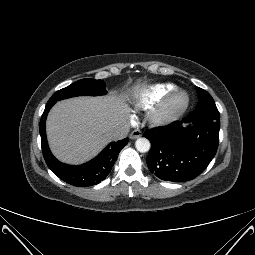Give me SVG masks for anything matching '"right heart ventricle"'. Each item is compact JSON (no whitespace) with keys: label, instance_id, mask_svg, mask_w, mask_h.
Wrapping results in <instances>:
<instances>
[{"label":"right heart ventricle","instance_id":"right-heart-ventricle-1","mask_svg":"<svg viewBox=\"0 0 255 255\" xmlns=\"http://www.w3.org/2000/svg\"><path fill=\"white\" fill-rule=\"evenodd\" d=\"M176 89L173 84H157L145 89L140 96V106L148 109L160 103L170 92Z\"/></svg>","mask_w":255,"mask_h":255}]
</instances>
